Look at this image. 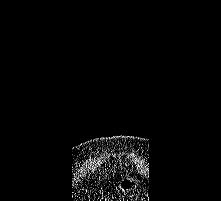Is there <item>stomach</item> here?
<instances>
[{"mask_svg": "<svg viewBox=\"0 0 221 201\" xmlns=\"http://www.w3.org/2000/svg\"><path fill=\"white\" fill-rule=\"evenodd\" d=\"M139 184L140 181L136 177L123 174L117 182V188L123 192H129L137 188Z\"/></svg>", "mask_w": 221, "mask_h": 201, "instance_id": "0dacf381", "label": "stomach"}]
</instances>
